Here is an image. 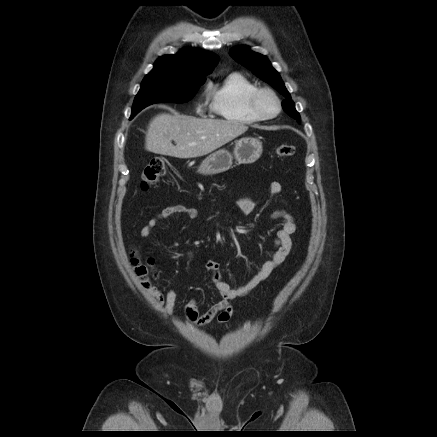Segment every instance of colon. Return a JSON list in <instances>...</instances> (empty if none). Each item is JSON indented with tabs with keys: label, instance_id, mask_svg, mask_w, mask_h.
Masks as SVG:
<instances>
[{
	"label": "colon",
	"instance_id": "5ec220e1",
	"mask_svg": "<svg viewBox=\"0 0 437 437\" xmlns=\"http://www.w3.org/2000/svg\"><path fill=\"white\" fill-rule=\"evenodd\" d=\"M276 153L279 157L285 158L293 156L295 153V147L292 145L283 144L277 147ZM166 172V160L162 157H154L145 166L142 173L141 187L143 190H147L153 187L159 179ZM132 262L134 264V271L136 276L140 279L141 284L149 288L151 277L154 275L152 269V262L142 263L136 257H132Z\"/></svg>",
	"mask_w": 437,
	"mask_h": 437
}]
</instances>
